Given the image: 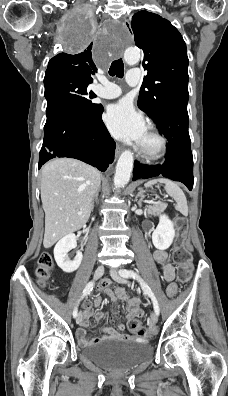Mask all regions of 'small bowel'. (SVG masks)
I'll list each match as a JSON object with an SVG mask.
<instances>
[{
	"instance_id": "obj_1",
	"label": "small bowel",
	"mask_w": 228,
	"mask_h": 396,
	"mask_svg": "<svg viewBox=\"0 0 228 396\" xmlns=\"http://www.w3.org/2000/svg\"><path fill=\"white\" fill-rule=\"evenodd\" d=\"M154 259L157 264L160 266L163 277L165 281L168 283L167 287V294L169 296H174L177 293V285L173 282L174 280V267L170 263L168 259V255L163 250H156L154 252ZM112 282L110 280H104L100 284V290L108 296L112 303L115 305V312H117L116 304L118 300H123L127 303L128 308V316L129 320L136 319L141 317L143 312L140 308V300L136 297H130L127 292L123 288H116L115 290L111 289ZM101 303V297L96 296L93 301H86L83 304V313H82V320L80 322V327L77 329V337L79 342L82 345H89L98 343L104 339H112V338H123V339H135V340H144L145 337L139 335H129L125 334V325L120 324L116 329L103 327L102 331L105 332V335L100 338H89L86 335V331L84 327H86L89 323V318L93 313V308L99 306ZM104 319V314L102 312H97L95 314V321L100 323Z\"/></svg>"
}]
</instances>
